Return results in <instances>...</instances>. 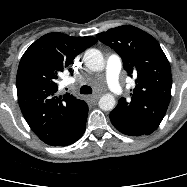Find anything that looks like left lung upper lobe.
Instances as JSON below:
<instances>
[{"mask_svg":"<svg viewBox=\"0 0 187 187\" xmlns=\"http://www.w3.org/2000/svg\"><path fill=\"white\" fill-rule=\"evenodd\" d=\"M96 36L121 56L128 75L136 77L131 100L120 98L111 112L145 134H151L164 118L171 98V68L163 50L154 37L131 25Z\"/></svg>","mask_w":187,"mask_h":187,"instance_id":"5c2ea615","label":"left lung upper lobe"}]
</instances>
